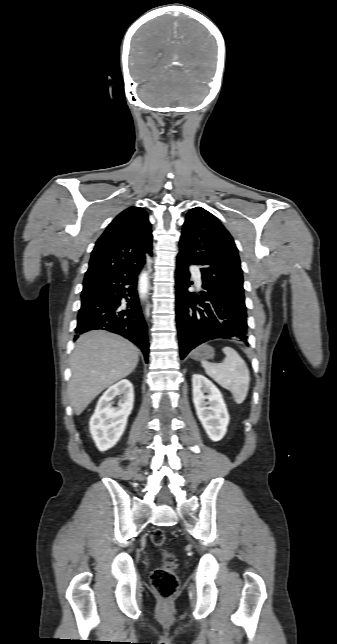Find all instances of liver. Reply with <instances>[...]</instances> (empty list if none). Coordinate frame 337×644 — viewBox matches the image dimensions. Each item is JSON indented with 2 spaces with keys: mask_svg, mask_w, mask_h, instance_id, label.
Returning a JSON list of instances; mask_svg holds the SVG:
<instances>
[{
  "mask_svg": "<svg viewBox=\"0 0 337 644\" xmlns=\"http://www.w3.org/2000/svg\"><path fill=\"white\" fill-rule=\"evenodd\" d=\"M138 361V348L121 336L101 330L80 336L71 356L68 385L74 413L80 415L104 389L128 376Z\"/></svg>",
  "mask_w": 337,
  "mask_h": 644,
  "instance_id": "1",
  "label": "liver"
}]
</instances>
